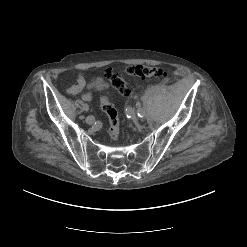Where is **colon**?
I'll list each match as a JSON object with an SVG mask.
<instances>
[{"mask_svg":"<svg viewBox=\"0 0 247 247\" xmlns=\"http://www.w3.org/2000/svg\"><path fill=\"white\" fill-rule=\"evenodd\" d=\"M122 73L146 81H160L166 78V72L162 68L147 65L128 66L123 69ZM122 73H114L111 69H107L104 76L109 80L113 88L122 95L128 96L130 94V87ZM100 103L102 110L105 112L109 120V136L113 141H115L120 132L118 113L110 103L107 96H101Z\"/></svg>","mask_w":247,"mask_h":247,"instance_id":"1","label":"colon"}]
</instances>
